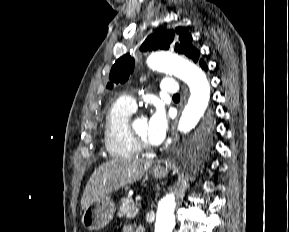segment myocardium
<instances>
[{
    "mask_svg": "<svg viewBox=\"0 0 289 232\" xmlns=\"http://www.w3.org/2000/svg\"><path fill=\"white\" fill-rule=\"evenodd\" d=\"M133 120H128L127 122V133L130 137V139L132 140V142L134 143V145L137 147V149L139 151H151L153 149V146L151 144H148L147 142L143 141L142 139H140L132 130L131 128V124Z\"/></svg>",
    "mask_w": 289,
    "mask_h": 232,
    "instance_id": "myocardium-1",
    "label": "myocardium"
}]
</instances>
